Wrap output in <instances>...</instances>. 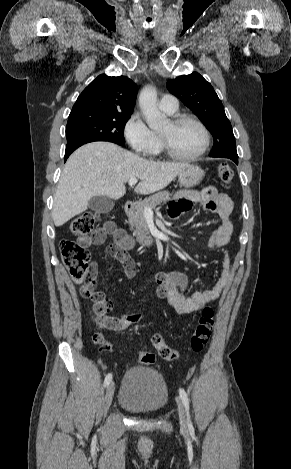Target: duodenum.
Here are the masks:
<instances>
[{
	"label": "duodenum",
	"mask_w": 291,
	"mask_h": 469,
	"mask_svg": "<svg viewBox=\"0 0 291 469\" xmlns=\"http://www.w3.org/2000/svg\"><path fill=\"white\" fill-rule=\"evenodd\" d=\"M134 210V203L132 201H127L124 205V211L127 215L131 214Z\"/></svg>",
	"instance_id": "410a0bca"
}]
</instances>
